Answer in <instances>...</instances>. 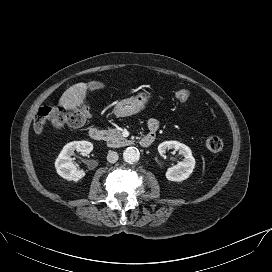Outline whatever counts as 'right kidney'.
I'll return each mask as SVG.
<instances>
[{"label": "right kidney", "instance_id": "right-kidney-1", "mask_svg": "<svg viewBox=\"0 0 272 272\" xmlns=\"http://www.w3.org/2000/svg\"><path fill=\"white\" fill-rule=\"evenodd\" d=\"M82 153H90L93 150V145L88 141H73L64 146L55 161V168L62 178L69 181H79L85 176L83 170H79L71 161V156L74 151Z\"/></svg>", "mask_w": 272, "mask_h": 272}]
</instances>
